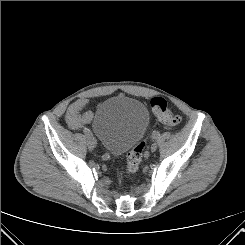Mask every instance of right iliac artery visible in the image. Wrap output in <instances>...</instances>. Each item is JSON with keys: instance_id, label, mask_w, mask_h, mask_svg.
I'll use <instances>...</instances> for the list:
<instances>
[{"instance_id": "82829eb1", "label": "right iliac artery", "mask_w": 245, "mask_h": 245, "mask_svg": "<svg viewBox=\"0 0 245 245\" xmlns=\"http://www.w3.org/2000/svg\"><path fill=\"white\" fill-rule=\"evenodd\" d=\"M83 132L86 135V137H90L92 135L91 132L88 129H84ZM90 139L92 140V138H90ZM93 142H96V141H93ZM96 145H98L97 142H96Z\"/></svg>"}]
</instances>
